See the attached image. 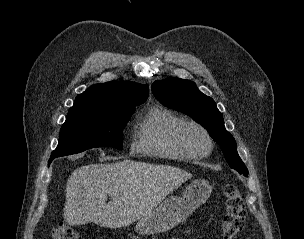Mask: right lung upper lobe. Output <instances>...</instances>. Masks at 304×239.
Returning a JSON list of instances; mask_svg holds the SVG:
<instances>
[{"label":"right lung upper lobe","instance_id":"1","mask_svg":"<svg viewBox=\"0 0 304 239\" xmlns=\"http://www.w3.org/2000/svg\"><path fill=\"white\" fill-rule=\"evenodd\" d=\"M149 95L147 84L130 81H110L95 84L78 95L68 114L79 112L120 111L127 106H136L146 101Z\"/></svg>","mask_w":304,"mask_h":239}]
</instances>
